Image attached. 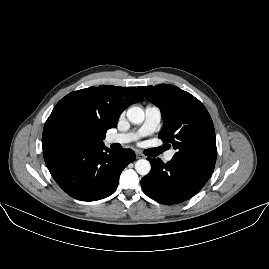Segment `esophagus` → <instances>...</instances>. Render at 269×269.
<instances>
[{
  "label": "esophagus",
  "mask_w": 269,
  "mask_h": 269,
  "mask_svg": "<svg viewBox=\"0 0 269 269\" xmlns=\"http://www.w3.org/2000/svg\"><path fill=\"white\" fill-rule=\"evenodd\" d=\"M136 158H137V159L144 158V155L141 154V153H139V152H137V153H136Z\"/></svg>",
  "instance_id": "esophagus-1"
}]
</instances>
